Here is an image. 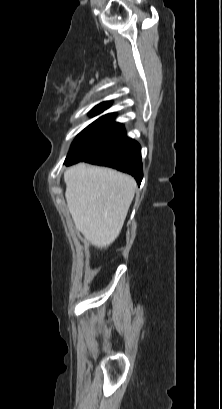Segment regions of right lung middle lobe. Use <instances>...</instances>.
I'll return each instance as SVG.
<instances>
[{
  "instance_id": "dd1d6c3e",
  "label": "right lung middle lobe",
  "mask_w": 222,
  "mask_h": 409,
  "mask_svg": "<svg viewBox=\"0 0 222 409\" xmlns=\"http://www.w3.org/2000/svg\"><path fill=\"white\" fill-rule=\"evenodd\" d=\"M105 108L93 109L90 115L101 113ZM114 114H107L85 128L74 140L65 163H77L99 151L115 126Z\"/></svg>"
}]
</instances>
